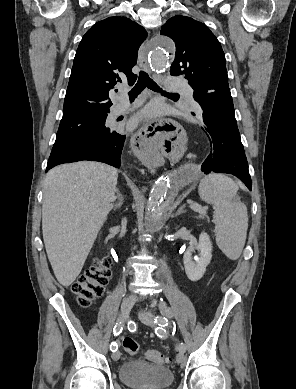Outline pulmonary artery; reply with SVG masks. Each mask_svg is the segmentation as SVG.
Listing matches in <instances>:
<instances>
[{
    "instance_id": "1",
    "label": "pulmonary artery",
    "mask_w": 296,
    "mask_h": 389,
    "mask_svg": "<svg viewBox=\"0 0 296 389\" xmlns=\"http://www.w3.org/2000/svg\"><path fill=\"white\" fill-rule=\"evenodd\" d=\"M165 84L168 90L183 92L189 106H192L197 109L200 108L199 104L194 99L192 88L188 86L186 83H184L179 79L168 77L165 81ZM128 106H129L128 100L124 96H122L119 99L118 103L114 106L113 113L115 115L121 114L128 108Z\"/></svg>"
}]
</instances>
